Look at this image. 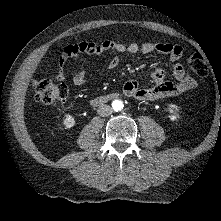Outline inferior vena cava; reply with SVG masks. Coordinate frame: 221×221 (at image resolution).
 I'll use <instances>...</instances> for the list:
<instances>
[{
    "mask_svg": "<svg viewBox=\"0 0 221 221\" xmlns=\"http://www.w3.org/2000/svg\"><path fill=\"white\" fill-rule=\"evenodd\" d=\"M97 112L99 116L106 117L109 116L113 112V110L109 105L102 104L101 106H99Z\"/></svg>",
    "mask_w": 221,
    "mask_h": 221,
    "instance_id": "inferior-vena-cava-1",
    "label": "inferior vena cava"
}]
</instances>
